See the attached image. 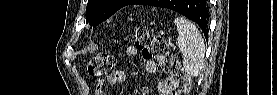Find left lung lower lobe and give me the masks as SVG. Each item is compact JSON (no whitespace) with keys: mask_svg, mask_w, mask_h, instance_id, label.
<instances>
[{"mask_svg":"<svg viewBox=\"0 0 277 95\" xmlns=\"http://www.w3.org/2000/svg\"><path fill=\"white\" fill-rule=\"evenodd\" d=\"M162 0H134L131 4L156 6ZM177 11L195 21L208 36V6L206 0H176L173 6L166 7Z\"/></svg>","mask_w":277,"mask_h":95,"instance_id":"obj_1","label":"left lung lower lobe"}]
</instances>
